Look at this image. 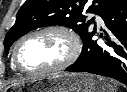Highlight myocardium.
<instances>
[{
  "instance_id": "myocardium-1",
  "label": "myocardium",
  "mask_w": 127,
  "mask_h": 92,
  "mask_svg": "<svg viewBox=\"0 0 127 92\" xmlns=\"http://www.w3.org/2000/svg\"><path fill=\"white\" fill-rule=\"evenodd\" d=\"M47 32H57L65 35L68 40L70 41V52L66 56V58L61 61L59 64L53 67L49 68H43V69H36V70H29L25 69L19 60V50L21 45L30 37L42 34V33H47ZM81 51V44L80 40L77 36V34L70 28L63 26V25H47L43 26L37 29H34L28 33H26L24 36H22L18 42L16 43L13 54H12V61L15 67L26 74H45V73H53V72H58L61 70H64L68 68L70 65H72L78 58L79 54Z\"/></svg>"
}]
</instances>
